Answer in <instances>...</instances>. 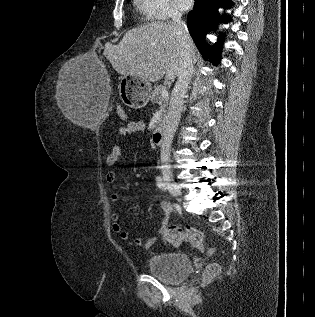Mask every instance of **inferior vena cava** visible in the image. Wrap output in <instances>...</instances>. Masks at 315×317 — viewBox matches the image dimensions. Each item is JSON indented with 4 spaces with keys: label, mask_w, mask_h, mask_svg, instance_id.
Listing matches in <instances>:
<instances>
[{
    "label": "inferior vena cava",
    "mask_w": 315,
    "mask_h": 317,
    "mask_svg": "<svg viewBox=\"0 0 315 317\" xmlns=\"http://www.w3.org/2000/svg\"><path fill=\"white\" fill-rule=\"evenodd\" d=\"M171 17L179 29L178 34L182 41L181 53L183 62L165 116L164 139L162 141L160 155L162 163H167L170 160L171 144L180 121L184 98L193 75L194 63L193 45L186 24L181 19L182 14L176 11L172 13ZM165 169L168 170L169 167L166 166Z\"/></svg>",
    "instance_id": "obj_1"
}]
</instances>
